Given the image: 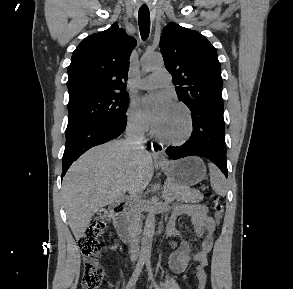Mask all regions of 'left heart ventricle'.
Wrapping results in <instances>:
<instances>
[{"label": "left heart ventricle", "instance_id": "1", "mask_svg": "<svg viewBox=\"0 0 293 289\" xmlns=\"http://www.w3.org/2000/svg\"><path fill=\"white\" fill-rule=\"evenodd\" d=\"M186 127L185 113L180 108L173 106L167 117L155 128L160 135L176 139L184 134Z\"/></svg>", "mask_w": 293, "mask_h": 289}]
</instances>
